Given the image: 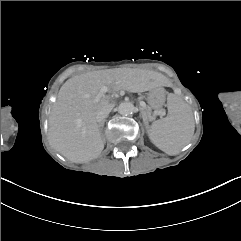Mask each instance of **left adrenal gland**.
Segmentation results:
<instances>
[{
  "instance_id": "obj_1",
  "label": "left adrenal gland",
  "mask_w": 241,
  "mask_h": 241,
  "mask_svg": "<svg viewBox=\"0 0 241 241\" xmlns=\"http://www.w3.org/2000/svg\"><path fill=\"white\" fill-rule=\"evenodd\" d=\"M142 117H143L144 124H148V118L144 114L142 115Z\"/></svg>"
}]
</instances>
